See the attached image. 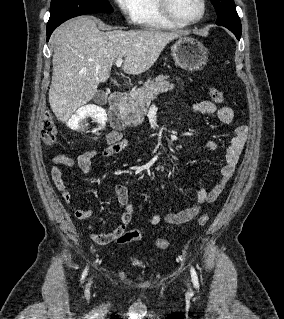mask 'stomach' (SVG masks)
Here are the masks:
<instances>
[{
  "label": "stomach",
  "mask_w": 284,
  "mask_h": 319,
  "mask_svg": "<svg viewBox=\"0 0 284 319\" xmlns=\"http://www.w3.org/2000/svg\"><path fill=\"white\" fill-rule=\"evenodd\" d=\"M171 55L176 65L189 71L201 69L208 60L207 48L190 37H179L171 48Z\"/></svg>",
  "instance_id": "obj_1"
}]
</instances>
